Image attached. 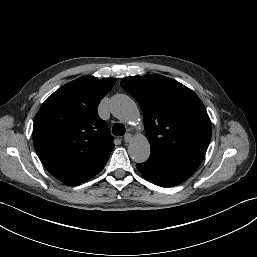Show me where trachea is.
I'll list each match as a JSON object with an SVG mask.
<instances>
[{
    "mask_svg": "<svg viewBox=\"0 0 257 257\" xmlns=\"http://www.w3.org/2000/svg\"><path fill=\"white\" fill-rule=\"evenodd\" d=\"M125 126L122 123L114 124L112 128V133L116 136H123L125 134Z\"/></svg>",
    "mask_w": 257,
    "mask_h": 257,
    "instance_id": "trachea-1",
    "label": "trachea"
}]
</instances>
